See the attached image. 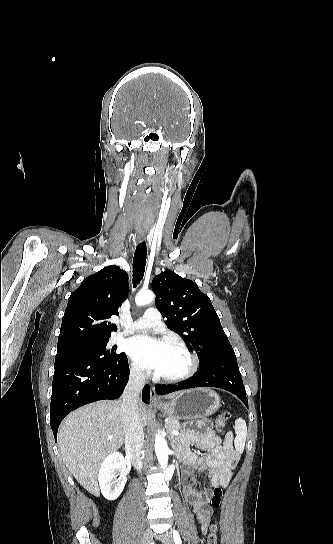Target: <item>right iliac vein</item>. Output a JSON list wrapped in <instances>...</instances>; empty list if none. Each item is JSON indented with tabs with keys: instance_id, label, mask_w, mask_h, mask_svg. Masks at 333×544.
I'll list each match as a JSON object with an SVG mask.
<instances>
[{
	"instance_id": "obj_1",
	"label": "right iliac vein",
	"mask_w": 333,
	"mask_h": 544,
	"mask_svg": "<svg viewBox=\"0 0 333 544\" xmlns=\"http://www.w3.org/2000/svg\"><path fill=\"white\" fill-rule=\"evenodd\" d=\"M153 539V533L150 529H146L142 536V544H150Z\"/></svg>"
}]
</instances>
